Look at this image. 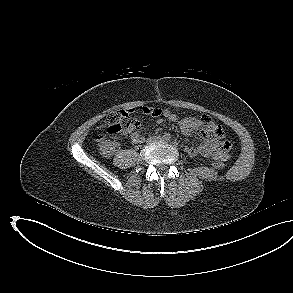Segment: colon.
Masks as SVG:
<instances>
[{
  "mask_svg": "<svg viewBox=\"0 0 293 293\" xmlns=\"http://www.w3.org/2000/svg\"><path fill=\"white\" fill-rule=\"evenodd\" d=\"M105 126L104 133L96 134L97 139H103L106 136H114L117 134L131 136L140 127V121L127 112L121 111L109 115ZM213 166L216 169H223L225 164L221 160H216L213 162Z\"/></svg>",
  "mask_w": 293,
  "mask_h": 293,
  "instance_id": "obj_1",
  "label": "colon"
}]
</instances>
